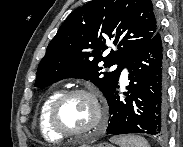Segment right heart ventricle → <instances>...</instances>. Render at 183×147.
<instances>
[{"label": "right heart ventricle", "instance_id": "obj_1", "mask_svg": "<svg viewBox=\"0 0 183 147\" xmlns=\"http://www.w3.org/2000/svg\"><path fill=\"white\" fill-rule=\"evenodd\" d=\"M60 94H61L60 90L51 91L44 99L39 111L40 132L45 139L51 141H57L63 139V135H60L57 132H55L50 126L48 120L51 105Z\"/></svg>", "mask_w": 183, "mask_h": 147}]
</instances>
